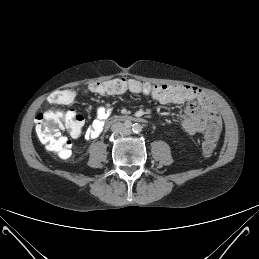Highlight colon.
Returning a JSON list of instances; mask_svg holds the SVG:
<instances>
[{"mask_svg": "<svg viewBox=\"0 0 259 259\" xmlns=\"http://www.w3.org/2000/svg\"><path fill=\"white\" fill-rule=\"evenodd\" d=\"M97 94H123L131 92L157 98L164 104L181 101H195L200 91L195 86L154 84L126 77H116L95 82L89 86ZM75 93L72 90H56L48 98L55 105L66 106L73 102ZM83 117L75 111H47L39 113L35 119L36 133L48 151L62 159L71 157L72 141L60 133L65 128L72 138H77L82 132ZM220 129L211 124L205 132L203 151L211 154L218 140Z\"/></svg>", "mask_w": 259, "mask_h": 259, "instance_id": "colon-1", "label": "colon"}]
</instances>
